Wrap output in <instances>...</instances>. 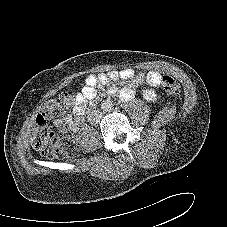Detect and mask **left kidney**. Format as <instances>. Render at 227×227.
I'll list each match as a JSON object with an SVG mask.
<instances>
[{"label":"left kidney","mask_w":227,"mask_h":227,"mask_svg":"<svg viewBox=\"0 0 227 227\" xmlns=\"http://www.w3.org/2000/svg\"><path fill=\"white\" fill-rule=\"evenodd\" d=\"M143 98L150 102H155L158 99L156 92L153 89H146L143 91Z\"/></svg>","instance_id":"left-kidney-1"}]
</instances>
